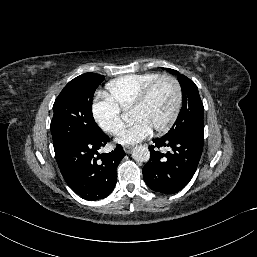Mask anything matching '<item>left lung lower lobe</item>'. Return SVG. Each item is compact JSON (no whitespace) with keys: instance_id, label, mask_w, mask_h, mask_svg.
Returning <instances> with one entry per match:
<instances>
[{"instance_id":"0a47b994","label":"left lung lower lobe","mask_w":257,"mask_h":257,"mask_svg":"<svg viewBox=\"0 0 257 257\" xmlns=\"http://www.w3.org/2000/svg\"><path fill=\"white\" fill-rule=\"evenodd\" d=\"M204 134L163 136L149 146L150 160L143 167L145 183L154 191L171 194L184 188L193 177L203 150ZM160 147L171 152L161 153Z\"/></svg>"}]
</instances>
